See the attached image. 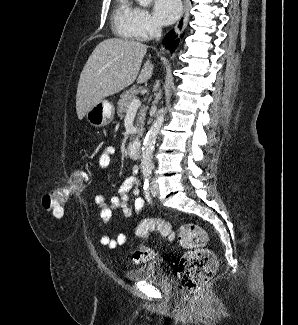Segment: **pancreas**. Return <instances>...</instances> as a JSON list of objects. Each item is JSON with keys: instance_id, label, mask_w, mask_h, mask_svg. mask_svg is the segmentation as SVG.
<instances>
[{"instance_id": "cf45deb5", "label": "pancreas", "mask_w": 298, "mask_h": 325, "mask_svg": "<svg viewBox=\"0 0 298 325\" xmlns=\"http://www.w3.org/2000/svg\"><path fill=\"white\" fill-rule=\"evenodd\" d=\"M141 92V88H137V86H132V88H129V90H124L122 94H120V98H118L117 102V114L120 116V118H124L125 112H127V108L132 102L133 98H136V94H139ZM148 106H141L138 114H137V120H136V134H143L144 132V120H145V114ZM130 138H135V134H132Z\"/></svg>"}]
</instances>
